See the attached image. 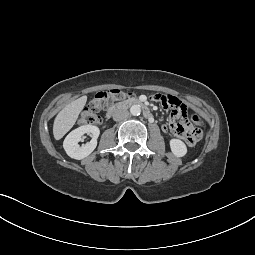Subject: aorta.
Instances as JSON below:
<instances>
[{
    "label": "aorta",
    "instance_id": "aorta-1",
    "mask_svg": "<svg viewBox=\"0 0 255 255\" xmlns=\"http://www.w3.org/2000/svg\"><path fill=\"white\" fill-rule=\"evenodd\" d=\"M130 113L133 115V116H138L140 115L141 113V108L139 105H132L130 107Z\"/></svg>",
    "mask_w": 255,
    "mask_h": 255
}]
</instances>
